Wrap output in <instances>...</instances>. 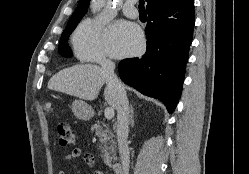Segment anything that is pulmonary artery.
Segmentation results:
<instances>
[{
    "instance_id": "obj_1",
    "label": "pulmonary artery",
    "mask_w": 249,
    "mask_h": 174,
    "mask_svg": "<svg viewBox=\"0 0 249 174\" xmlns=\"http://www.w3.org/2000/svg\"><path fill=\"white\" fill-rule=\"evenodd\" d=\"M136 0H127L122 7L123 13L132 19H136L139 16L138 9L135 7Z\"/></svg>"
}]
</instances>
